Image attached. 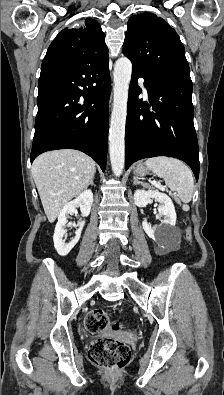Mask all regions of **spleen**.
I'll use <instances>...</instances> for the list:
<instances>
[{
  "mask_svg": "<svg viewBox=\"0 0 224 395\" xmlns=\"http://www.w3.org/2000/svg\"><path fill=\"white\" fill-rule=\"evenodd\" d=\"M145 165L164 179L166 186L176 191L183 203H189L194 191V177L190 168L182 161L170 157H152Z\"/></svg>",
  "mask_w": 224,
  "mask_h": 395,
  "instance_id": "3e777b00",
  "label": "spleen"
}]
</instances>
